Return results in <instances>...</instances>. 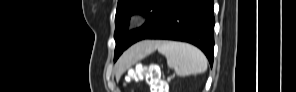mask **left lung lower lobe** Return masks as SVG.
<instances>
[{
  "label": "left lung lower lobe",
  "mask_w": 296,
  "mask_h": 92,
  "mask_svg": "<svg viewBox=\"0 0 296 92\" xmlns=\"http://www.w3.org/2000/svg\"><path fill=\"white\" fill-rule=\"evenodd\" d=\"M213 0H170L161 25L145 39H169L200 48L210 64L214 50Z\"/></svg>",
  "instance_id": "left-lung-lower-lobe-1"
}]
</instances>
